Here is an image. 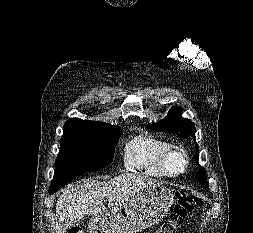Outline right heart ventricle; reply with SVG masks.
Returning a JSON list of instances; mask_svg holds the SVG:
<instances>
[{
    "label": "right heart ventricle",
    "instance_id": "right-heart-ventricle-1",
    "mask_svg": "<svg viewBox=\"0 0 253 233\" xmlns=\"http://www.w3.org/2000/svg\"><path fill=\"white\" fill-rule=\"evenodd\" d=\"M169 148L165 141L148 132L138 133L124 145L123 164L130 171L152 177L166 176L159 165V160Z\"/></svg>",
    "mask_w": 253,
    "mask_h": 233
}]
</instances>
